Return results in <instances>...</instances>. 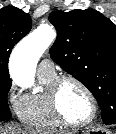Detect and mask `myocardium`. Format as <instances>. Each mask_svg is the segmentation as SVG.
I'll use <instances>...</instances> for the list:
<instances>
[{
	"mask_svg": "<svg viewBox=\"0 0 116 134\" xmlns=\"http://www.w3.org/2000/svg\"><path fill=\"white\" fill-rule=\"evenodd\" d=\"M74 83L78 87H80L88 96L90 103H91V113L89 117L82 121V122H73L68 120L61 112L60 106H59V94L61 91L62 86L65 83ZM48 100L49 105L51 108V111L54 115V117L57 119V121L70 128H83L88 125H90L97 117L98 113V103L96 100V97L94 96L93 92L90 90V88L84 84L81 80L73 77V76H58L56 77L52 83L50 84L48 88Z\"/></svg>",
	"mask_w": 116,
	"mask_h": 134,
	"instance_id": "obj_1",
	"label": "myocardium"
}]
</instances>
